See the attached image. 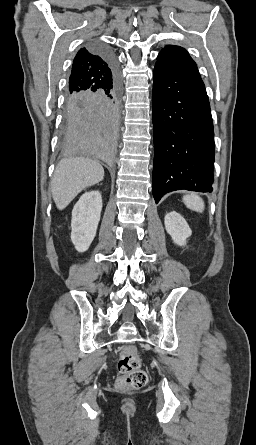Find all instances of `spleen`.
I'll return each mask as SVG.
<instances>
[{
  "mask_svg": "<svg viewBox=\"0 0 256 445\" xmlns=\"http://www.w3.org/2000/svg\"><path fill=\"white\" fill-rule=\"evenodd\" d=\"M183 202L189 209L197 212H202L205 207L203 200L195 194H188L184 196Z\"/></svg>",
  "mask_w": 256,
  "mask_h": 445,
  "instance_id": "spleen-1",
  "label": "spleen"
}]
</instances>
